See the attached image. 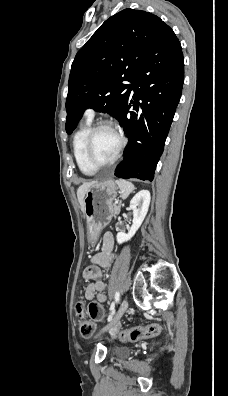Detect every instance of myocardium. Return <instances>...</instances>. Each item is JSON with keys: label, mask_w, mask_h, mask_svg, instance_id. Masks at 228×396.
<instances>
[{"label": "myocardium", "mask_w": 228, "mask_h": 396, "mask_svg": "<svg viewBox=\"0 0 228 396\" xmlns=\"http://www.w3.org/2000/svg\"><path fill=\"white\" fill-rule=\"evenodd\" d=\"M102 128H110V129H112L115 132V134L118 136L119 145H118V148H117V151H116L114 157L109 162H107L105 164H97L92 159L91 147H92L94 136ZM125 142L126 141H125L124 135L121 133V131L118 129V127L115 124H113L110 121H100V122H98L97 124L92 126V128L90 129V131H89V133H88V135L86 137V140H85L84 157H85V160H86L87 164L91 168H93L95 170H99V169H103V168L112 166L121 157L122 152H123L124 147H125Z\"/></svg>", "instance_id": "myocardium-1"}]
</instances>
